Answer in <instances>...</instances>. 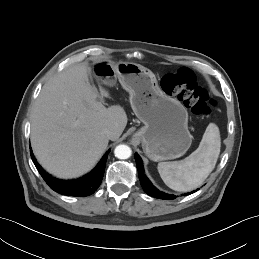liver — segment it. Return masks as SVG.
Masks as SVG:
<instances>
[{"label": "liver", "instance_id": "6515ba94", "mask_svg": "<svg viewBox=\"0 0 259 259\" xmlns=\"http://www.w3.org/2000/svg\"><path fill=\"white\" fill-rule=\"evenodd\" d=\"M90 68L77 64L52 77L42 88L31 114V145L39 163L59 178L88 172L100 159L115 131L117 140L127 125L119 105L106 108L89 82ZM106 97L107 91H102Z\"/></svg>", "mask_w": 259, "mask_h": 259}]
</instances>
